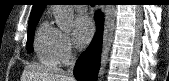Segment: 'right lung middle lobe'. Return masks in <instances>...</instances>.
Masks as SVG:
<instances>
[{
  "mask_svg": "<svg viewBox=\"0 0 169 81\" xmlns=\"http://www.w3.org/2000/svg\"><path fill=\"white\" fill-rule=\"evenodd\" d=\"M38 21L39 20H36L28 24V39H27L28 52H33V37H34L35 27Z\"/></svg>",
  "mask_w": 169,
  "mask_h": 81,
  "instance_id": "right-lung-middle-lobe-1",
  "label": "right lung middle lobe"
}]
</instances>
